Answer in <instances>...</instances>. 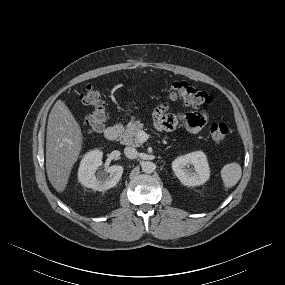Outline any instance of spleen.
<instances>
[{
	"mask_svg": "<svg viewBox=\"0 0 285 285\" xmlns=\"http://www.w3.org/2000/svg\"><path fill=\"white\" fill-rule=\"evenodd\" d=\"M242 175V170L239 164L233 162L225 165L221 169V178L225 188H232L237 184Z\"/></svg>",
	"mask_w": 285,
	"mask_h": 285,
	"instance_id": "1",
	"label": "spleen"
}]
</instances>
